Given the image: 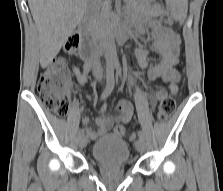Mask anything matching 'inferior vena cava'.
Returning a JSON list of instances; mask_svg holds the SVG:
<instances>
[{
	"label": "inferior vena cava",
	"mask_w": 223,
	"mask_h": 191,
	"mask_svg": "<svg viewBox=\"0 0 223 191\" xmlns=\"http://www.w3.org/2000/svg\"><path fill=\"white\" fill-rule=\"evenodd\" d=\"M100 69H101V68H100V64L96 65V67H95V72L98 73V72L100 71Z\"/></svg>",
	"instance_id": "602c4592"
}]
</instances>
